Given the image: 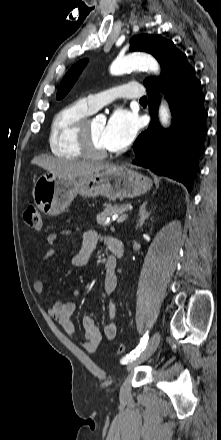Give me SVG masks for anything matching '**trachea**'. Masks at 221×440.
I'll return each instance as SVG.
<instances>
[{
    "mask_svg": "<svg viewBox=\"0 0 221 440\" xmlns=\"http://www.w3.org/2000/svg\"><path fill=\"white\" fill-rule=\"evenodd\" d=\"M140 102H147V98H146V97H142V98L140 99Z\"/></svg>",
    "mask_w": 221,
    "mask_h": 440,
    "instance_id": "obj_1",
    "label": "trachea"
}]
</instances>
